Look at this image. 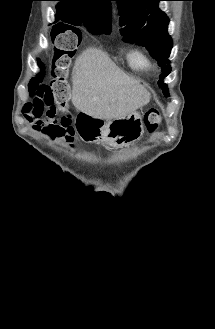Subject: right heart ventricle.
<instances>
[{"label": "right heart ventricle", "mask_w": 215, "mask_h": 329, "mask_svg": "<svg viewBox=\"0 0 215 329\" xmlns=\"http://www.w3.org/2000/svg\"><path fill=\"white\" fill-rule=\"evenodd\" d=\"M128 65L133 70H147L152 66V60L150 57L139 48L130 50L126 56Z\"/></svg>", "instance_id": "obj_1"}]
</instances>
